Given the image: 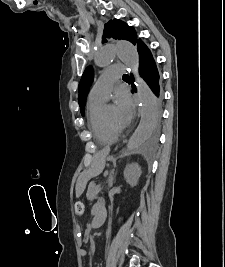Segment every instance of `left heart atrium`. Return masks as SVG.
I'll return each mask as SVG.
<instances>
[{"label": "left heart atrium", "instance_id": "left-heart-atrium-1", "mask_svg": "<svg viewBox=\"0 0 225 267\" xmlns=\"http://www.w3.org/2000/svg\"><path fill=\"white\" fill-rule=\"evenodd\" d=\"M116 118L120 127H126L134 113L132 100L128 93L120 91L116 95Z\"/></svg>", "mask_w": 225, "mask_h": 267}]
</instances>
